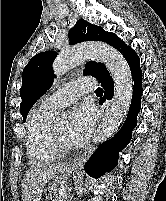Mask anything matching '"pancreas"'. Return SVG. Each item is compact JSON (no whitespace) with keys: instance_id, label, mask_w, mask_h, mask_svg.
Returning a JSON list of instances; mask_svg holds the SVG:
<instances>
[{"instance_id":"cf45deb5","label":"pancreas","mask_w":166,"mask_h":201,"mask_svg":"<svg viewBox=\"0 0 166 201\" xmlns=\"http://www.w3.org/2000/svg\"><path fill=\"white\" fill-rule=\"evenodd\" d=\"M57 201H64V199H63V198H60V199H58Z\"/></svg>"}]
</instances>
